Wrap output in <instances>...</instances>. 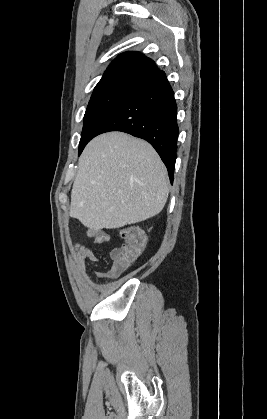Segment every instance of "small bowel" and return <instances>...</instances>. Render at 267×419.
I'll return each mask as SVG.
<instances>
[{"label": "small bowel", "instance_id": "c3829d8e", "mask_svg": "<svg viewBox=\"0 0 267 419\" xmlns=\"http://www.w3.org/2000/svg\"><path fill=\"white\" fill-rule=\"evenodd\" d=\"M88 236L97 244H102L109 239V234L105 230H91L88 232ZM74 254L78 271L85 279L89 280L86 272V265L87 263H93L96 261V257L93 251L87 246L76 244L74 248ZM95 274L99 278L112 279L115 278L119 273L114 271L111 267L106 271H97Z\"/></svg>", "mask_w": 267, "mask_h": 419}]
</instances>
